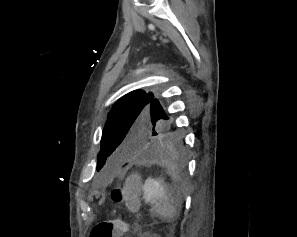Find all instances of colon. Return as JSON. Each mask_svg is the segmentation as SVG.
<instances>
[{
	"label": "colon",
	"instance_id": "5ec220e1",
	"mask_svg": "<svg viewBox=\"0 0 297 237\" xmlns=\"http://www.w3.org/2000/svg\"><path fill=\"white\" fill-rule=\"evenodd\" d=\"M138 180L127 178L122 189L112 192V199L116 203L135 210L138 205ZM129 231V226L122 220H107L97 223L90 231L89 237H123Z\"/></svg>",
	"mask_w": 297,
	"mask_h": 237
}]
</instances>
